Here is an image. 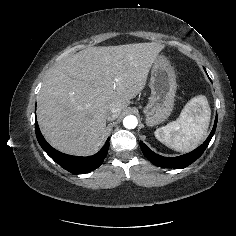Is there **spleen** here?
I'll return each instance as SVG.
<instances>
[{
    "mask_svg": "<svg viewBox=\"0 0 236 236\" xmlns=\"http://www.w3.org/2000/svg\"><path fill=\"white\" fill-rule=\"evenodd\" d=\"M210 115L206 97L196 96L184 106L176 121L158 128L155 137L173 150L189 152L203 140L209 126Z\"/></svg>",
    "mask_w": 236,
    "mask_h": 236,
    "instance_id": "1",
    "label": "spleen"
}]
</instances>
